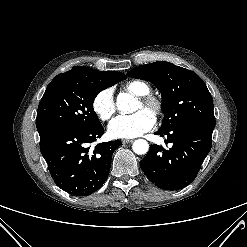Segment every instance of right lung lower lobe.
<instances>
[{"mask_svg":"<svg viewBox=\"0 0 247 247\" xmlns=\"http://www.w3.org/2000/svg\"><path fill=\"white\" fill-rule=\"evenodd\" d=\"M104 133L101 124L89 129L66 128L40 136V151L56 184L70 194L85 196L106 181L120 140L91 148Z\"/></svg>","mask_w":247,"mask_h":247,"instance_id":"98d812e1","label":"right lung lower lobe"}]
</instances>
